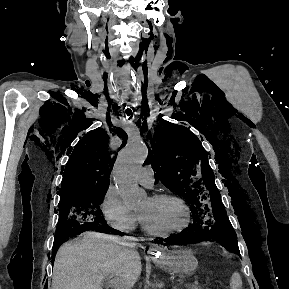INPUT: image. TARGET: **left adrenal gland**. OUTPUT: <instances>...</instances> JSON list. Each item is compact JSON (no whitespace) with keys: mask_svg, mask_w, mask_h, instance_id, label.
Here are the masks:
<instances>
[{"mask_svg":"<svg viewBox=\"0 0 289 289\" xmlns=\"http://www.w3.org/2000/svg\"><path fill=\"white\" fill-rule=\"evenodd\" d=\"M173 289H179L177 286H174Z\"/></svg>","mask_w":289,"mask_h":289,"instance_id":"1","label":"left adrenal gland"}]
</instances>
